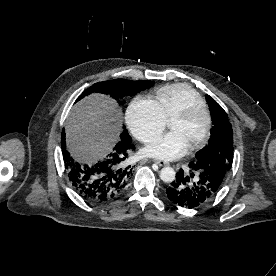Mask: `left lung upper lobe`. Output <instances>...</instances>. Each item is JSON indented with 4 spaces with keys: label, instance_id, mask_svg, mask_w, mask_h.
I'll return each mask as SVG.
<instances>
[{
    "label": "left lung upper lobe",
    "instance_id": "obj_1",
    "mask_svg": "<svg viewBox=\"0 0 276 276\" xmlns=\"http://www.w3.org/2000/svg\"><path fill=\"white\" fill-rule=\"evenodd\" d=\"M206 100L213 123L211 138L208 145L196 154L194 163L200 164V169L207 167L224 183L233 162L232 126L223 108L209 95H206Z\"/></svg>",
    "mask_w": 276,
    "mask_h": 276
}]
</instances>
